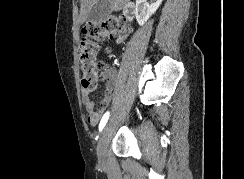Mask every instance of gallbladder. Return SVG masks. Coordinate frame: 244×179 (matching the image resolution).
<instances>
[{
    "mask_svg": "<svg viewBox=\"0 0 244 179\" xmlns=\"http://www.w3.org/2000/svg\"><path fill=\"white\" fill-rule=\"evenodd\" d=\"M111 12L112 8L108 0H97L96 4L92 6L87 20L91 24H99V22H105Z\"/></svg>",
    "mask_w": 244,
    "mask_h": 179,
    "instance_id": "1",
    "label": "gallbladder"
}]
</instances>
